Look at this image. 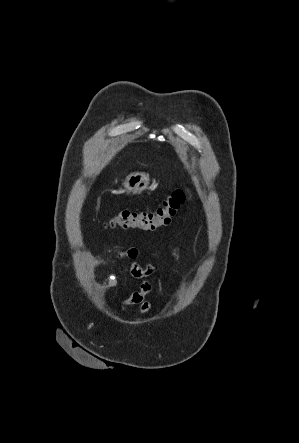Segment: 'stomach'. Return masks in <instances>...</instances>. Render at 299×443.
Listing matches in <instances>:
<instances>
[{
    "instance_id": "0dacf381",
    "label": "stomach",
    "mask_w": 299,
    "mask_h": 443,
    "mask_svg": "<svg viewBox=\"0 0 299 443\" xmlns=\"http://www.w3.org/2000/svg\"><path fill=\"white\" fill-rule=\"evenodd\" d=\"M149 176L143 172H135L126 177L123 186L127 193L141 194L148 189Z\"/></svg>"
}]
</instances>
